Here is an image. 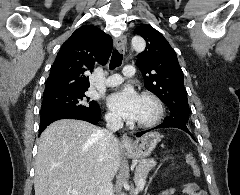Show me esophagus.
<instances>
[{
	"mask_svg": "<svg viewBox=\"0 0 240 195\" xmlns=\"http://www.w3.org/2000/svg\"><path fill=\"white\" fill-rule=\"evenodd\" d=\"M127 39L125 35H120L114 39V46L117 50H124L126 47ZM121 145L123 148H132L133 140L126 134H123L121 137Z\"/></svg>",
	"mask_w": 240,
	"mask_h": 195,
	"instance_id": "1",
	"label": "esophagus"
}]
</instances>
